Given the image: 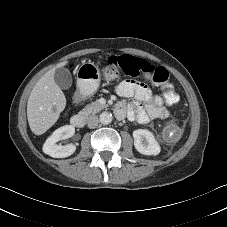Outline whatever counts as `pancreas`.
Listing matches in <instances>:
<instances>
[{"mask_svg": "<svg viewBox=\"0 0 227 227\" xmlns=\"http://www.w3.org/2000/svg\"><path fill=\"white\" fill-rule=\"evenodd\" d=\"M106 107L105 104H101L99 100L92 102L91 104L87 105L83 110L82 113L84 115L96 114L99 111L103 110Z\"/></svg>", "mask_w": 227, "mask_h": 227, "instance_id": "1", "label": "pancreas"}]
</instances>
